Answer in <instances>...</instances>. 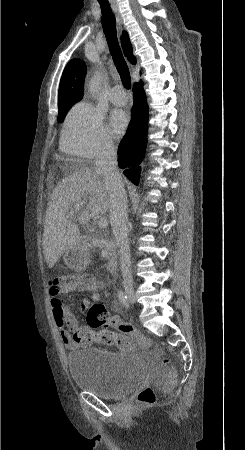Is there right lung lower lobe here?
<instances>
[{"mask_svg":"<svg viewBox=\"0 0 245 450\" xmlns=\"http://www.w3.org/2000/svg\"><path fill=\"white\" fill-rule=\"evenodd\" d=\"M135 102L132 108V122L119 148V167L136 185L139 182L140 163L144 158L147 143L148 106L142 83L134 85Z\"/></svg>","mask_w":245,"mask_h":450,"instance_id":"obj_1","label":"right lung lower lobe"}]
</instances>
